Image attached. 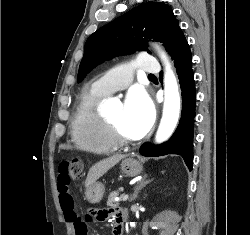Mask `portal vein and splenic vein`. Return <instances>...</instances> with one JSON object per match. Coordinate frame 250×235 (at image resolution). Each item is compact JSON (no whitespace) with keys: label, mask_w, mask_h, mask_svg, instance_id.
Here are the masks:
<instances>
[{"label":"portal vein and splenic vein","mask_w":250,"mask_h":235,"mask_svg":"<svg viewBox=\"0 0 250 235\" xmlns=\"http://www.w3.org/2000/svg\"><path fill=\"white\" fill-rule=\"evenodd\" d=\"M127 199H128V194H125V195L122 196V199H121V200H122V201H127ZM119 200H120L119 198H115V201H116V202H118Z\"/></svg>","instance_id":"18ae733b"}]
</instances>
